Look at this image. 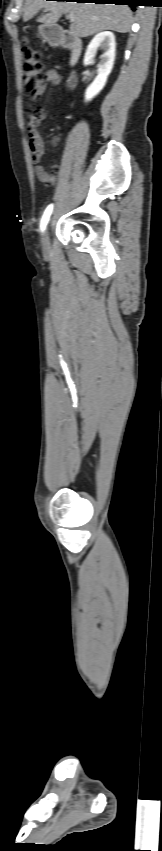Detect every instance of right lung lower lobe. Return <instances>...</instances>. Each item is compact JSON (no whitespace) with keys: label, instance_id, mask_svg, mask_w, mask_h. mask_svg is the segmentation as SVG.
Here are the masks:
<instances>
[{"label":"right lung lower lobe","instance_id":"98d812e1","mask_svg":"<svg viewBox=\"0 0 162 851\" xmlns=\"http://www.w3.org/2000/svg\"><path fill=\"white\" fill-rule=\"evenodd\" d=\"M64 1V0H63ZM68 1V0H65ZM76 2L96 3V4H116L137 6V0H74Z\"/></svg>","mask_w":162,"mask_h":851}]
</instances>
